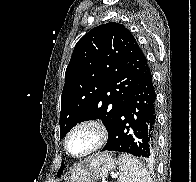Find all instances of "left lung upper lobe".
<instances>
[{"instance_id": "5c2ea615", "label": "left lung upper lobe", "mask_w": 196, "mask_h": 182, "mask_svg": "<svg viewBox=\"0 0 196 182\" xmlns=\"http://www.w3.org/2000/svg\"><path fill=\"white\" fill-rule=\"evenodd\" d=\"M148 68L136 39L124 25L106 23L86 33L77 42L65 72L60 139L77 123L93 119H101L110 135L120 107Z\"/></svg>"}]
</instances>
